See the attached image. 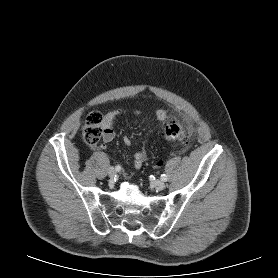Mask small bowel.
I'll list each match as a JSON object with an SVG mask.
<instances>
[{
  "label": "small bowel",
  "instance_id": "1",
  "mask_svg": "<svg viewBox=\"0 0 278 278\" xmlns=\"http://www.w3.org/2000/svg\"><path fill=\"white\" fill-rule=\"evenodd\" d=\"M123 114H129L131 116H139L141 114V111L140 110L126 111V110H122V109H116V110L107 112L105 114V116L103 117V122H102L103 141L105 143L111 142L114 139V137H115V132L113 129L114 121L116 120V118H118L119 116H121ZM155 116H156L157 120L164 121L167 118L168 114L165 110L158 109L155 112ZM123 143L126 146H130L131 139L129 137L125 136L123 138ZM100 147H101V149H105V145H101ZM146 157H147V153H146L145 148L138 149L134 154L133 166L137 169L140 168L142 166V164L144 163V161L146 160ZM155 165L160 166L161 162H157Z\"/></svg>",
  "mask_w": 278,
  "mask_h": 278
}]
</instances>
